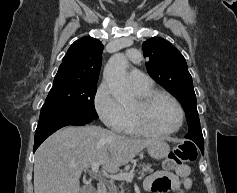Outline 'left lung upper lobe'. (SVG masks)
<instances>
[{
  "label": "left lung upper lobe",
  "instance_id": "obj_1",
  "mask_svg": "<svg viewBox=\"0 0 237 193\" xmlns=\"http://www.w3.org/2000/svg\"><path fill=\"white\" fill-rule=\"evenodd\" d=\"M149 75L168 90L182 105L189 125L186 138L191 139L199 148H204L196 108L193 81L182 54L163 38H151L142 45Z\"/></svg>",
  "mask_w": 237,
  "mask_h": 193
}]
</instances>
